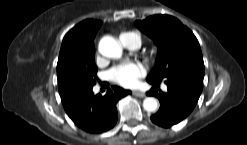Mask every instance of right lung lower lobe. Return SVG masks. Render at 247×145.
<instances>
[{"label":"right lung lower lobe","mask_w":247,"mask_h":145,"mask_svg":"<svg viewBox=\"0 0 247 145\" xmlns=\"http://www.w3.org/2000/svg\"><path fill=\"white\" fill-rule=\"evenodd\" d=\"M131 91L113 86L106 95H94L92 87L77 89L61 97L64 109L71 120L89 133H102L117 122L116 103Z\"/></svg>","instance_id":"1"}]
</instances>
